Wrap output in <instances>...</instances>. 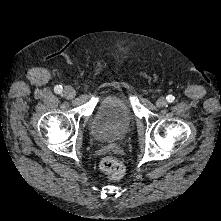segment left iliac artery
<instances>
[{
  "label": "left iliac artery",
  "instance_id": "obj_1",
  "mask_svg": "<svg viewBox=\"0 0 221 221\" xmlns=\"http://www.w3.org/2000/svg\"><path fill=\"white\" fill-rule=\"evenodd\" d=\"M166 99H167V101L168 102H173L174 101V96H172V95H168L167 97H166Z\"/></svg>",
  "mask_w": 221,
  "mask_h": 221
}]
</instances>
